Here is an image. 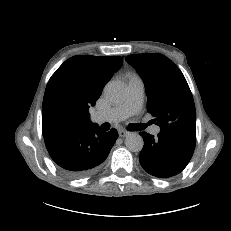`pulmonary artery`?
I'll list each match as a JSON object with an SVG mask.
<instances>
[{
  "mask_svg": "<svg viewBox=\"0 0 231 231\" xmlns=\"http://www.w3.org/2000/svg\"><path fill=\"white\" fill-rule=\"evenodd\" d=\"M145 86L140 78H131L128 82V95L126 101L116 107L104 111L94 112L91 119L95 123L103 122H119L127 117L140 112L144 102ZM150 132L157 135L160 127L154 125L150 128Z\"/></svg>",
  "mask_w": 231,
  "mask_h": 231,
  "instance_id": "1",
  "label": "pulmonary artery"
}]
</instances>
